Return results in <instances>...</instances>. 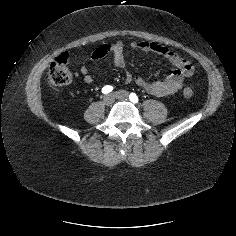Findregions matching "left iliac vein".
<instances>
[{"label":"left iliac vein","instance_id":"4c4485c4","mask_svg":"<svg viewBox=\"0 0 236 236\" xmlns=\"http://www.w3.org/2000/svg\"><path fill=\"white\" fill-rule=\"evenodd\" d=\"M113 95L120 100H127L129 98L128 92L124 90L116 91Z\"/></svg>","mask_w":236,"mask_h":236}]
</instances>
